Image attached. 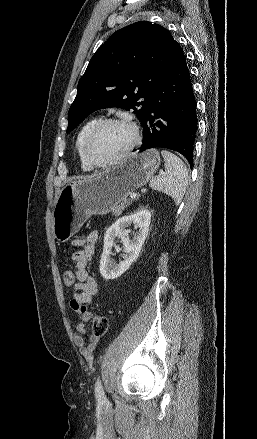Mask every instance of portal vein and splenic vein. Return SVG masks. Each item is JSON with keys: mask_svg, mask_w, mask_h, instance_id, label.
Returning a JSON list of instances; mask_svg holds the SVG:
<instances>
[{"mask_svg": "<svg viewBox=\"0 0 257 439\" xmlns=\"http://www.w3.org/2000/svg\"><path fill=\"white\" fill-rule=\"evenodd\" d=\"M137 197V194L136 193H132L131 195H130V198L131 199H135Z\"/></svg>", "mask_w": 257, "mask_h": 439, "instance_id": "18ae733b", "label": "portal vein and splenic vein"}]
</instances>
